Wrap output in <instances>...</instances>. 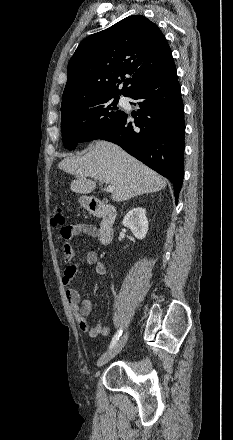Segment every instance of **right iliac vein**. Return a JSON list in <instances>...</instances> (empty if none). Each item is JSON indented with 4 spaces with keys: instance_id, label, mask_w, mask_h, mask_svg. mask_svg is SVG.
I'll return each mask as SVG.
<instances>
[{
    "instance_id": "obj_1",
    "label": "right iliac vein",
    "mask_w": 233,
    "mask_h": 440,
    "mask_svg": "<svg viewBox=\"0 0 233 440\" xmlns=\"http://www.w3.org/2000/svg\"><path fill=\"white\" fill-rule=\"evenodd\" d=\"M128 337H129V332H126V334L116 343V345L111 350H109L108 352L103 354L98 359L97 366L101 367V366L105 365L106 363H108L111 359H113L125 346V344L128 340Z\"/></svg>"
}]
</instances>
